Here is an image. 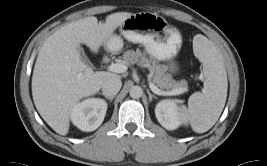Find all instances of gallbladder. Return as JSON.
<instances>
[{
  "mask_svg": "<svg viewBox=\"0 0 267 166\" xmlns=\"http://www.w3.org/2000/svg\"><path fill=\"white\" fill-rule=\"evenodd\" d=\"M78 50L80 52V57H81L82 61L85 62L86 64H89V60L86 57L83 48L82 47H79Z\"/></svg>",
  "mask_w": 267,
  "mask_h": 166,
  "instance_id": "bac80fb5",
  "label": "gallbladder"
}]
</instances>
